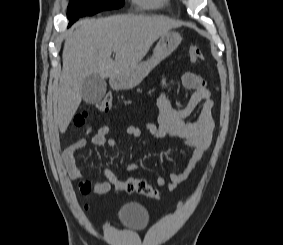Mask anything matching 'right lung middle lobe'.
<instances>
[{"instance_id": "right-lung-middle-lobe-1", "label": "right lung middle lobe", "mask_w": 283, "mask_h": 245, "mask_svg": "<svg viewBox=\"0 0 283 245\" xmlns=\"http://www.w3.org/2000/svg\"><path fill=\"white\" fill-rule=\"evenodd\" d=\"M124 0H71L67 16L69 26L79 17L94 15L103 10L117 9L123 6Z\"/></svg>"}]
</instances>
